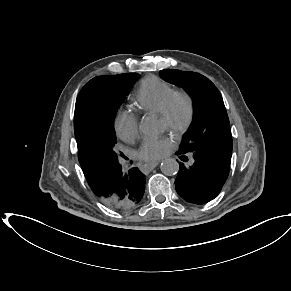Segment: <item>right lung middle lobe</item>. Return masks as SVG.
Returning <instances> with one entry per match:
<instances>
[{
  "label": "right lung middle lobe",
  "instance_id": "dd1d6c3e",
  "mask_svg": "<svg viewBox=\"0 0 291 291\" xmlns=\"http://www.w3.org/2000/svg\"><path fill=\"white\" fill-rule=\"evenodd\" d=\"M136 73L97 76L80 91L75 105L87 147L105 164L117 163L114 118Z\"/></svg>",
  "mask_w": 291,
  "mask_h": 291
}]
</instances>
